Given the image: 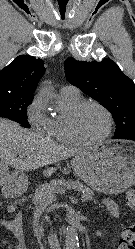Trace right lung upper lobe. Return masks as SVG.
Here are the masks:
<instances>
[{"instance_id":"cb5924a9","label":"right lung upper lobe","mask_w":135,"mask_h":249,"mask_svg":"<svg viewBox=\"0 0 135 249\" xmlns=\"http://www.w3.org/2000/svg\"><path fill=\"white\" fill-rule=\"evenodd\" d=\"M45 71L44 61L30 55H20L0 71V94L33 96Z\"/></svg>"}]
</instances>
